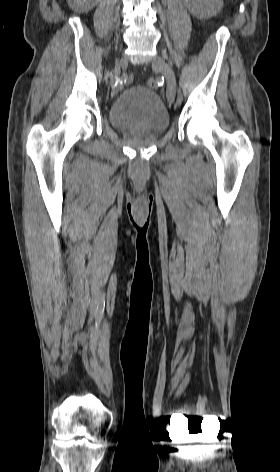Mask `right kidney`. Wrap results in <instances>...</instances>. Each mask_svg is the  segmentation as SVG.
I'll list each match as a JSON object with an SVG mask.
<instances>
[{
	"instance_id": "obj_1",
	"label": "right kidney",
	"mask_w": 280,
	"mask_h": 472,
	"mask_svg": "<svg viewBox=\"0 0 280 472\" xmlns=\"http://www.w3.org/2000/svg\"><path fill=\"white\" fill-rule=\"evenodd\" d=\"M78 2V7L83 11H89L97 5L99 0H76Z\"/></svg>"
}]
</instances>
